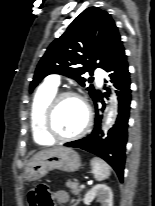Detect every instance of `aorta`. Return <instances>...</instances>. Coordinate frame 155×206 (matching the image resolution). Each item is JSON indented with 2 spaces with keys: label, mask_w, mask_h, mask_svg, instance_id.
<instances>
[{
  "label": "aorta",
  "mask_w": 155,
  "mask_h": 206,
  "mask_svg": "<svg viewBox=\"0 0 155 206\" xmlns=\"http://www.w3.org/2000/svg\"><path fill=\"white\" fill-rule=\"evenodd\" d=\"M112 116H113V112L110 111L109 114H108L107 121H106L107 124H109L112 121Z\"/></svg>",
  "instance_id": "1"
}]
</instances>
